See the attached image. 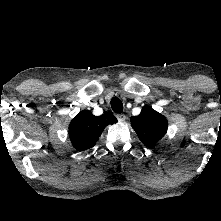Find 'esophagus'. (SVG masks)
<instances>
[{"instance_id":"1","label":"esophagus","mask_w":221,"mask_h":221,"mask_svg":"<svg viewBox=\"0 0 221 221\" xmlns=\"http://www.w3.org/2000/svg\"><path fill=\"white\" fill-rule=\"evenodd\" d=\"M116 117L120 122H124L126 120V116L124 114H117Z\"/></svg>"}]
</instances>
